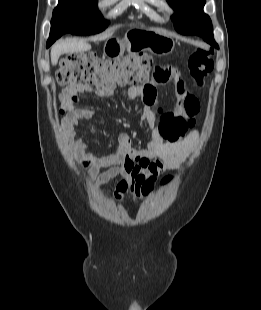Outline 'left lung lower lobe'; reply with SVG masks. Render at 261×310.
<instances>
[{"label":"left lung lower lobe","instance_id":"obj_1","mask_svg":"<svg viewBox=\"0 0 261 310\" xmlns=\"http://www.w3.org/2000/svg\"><path fill=\"white\" fill-rule=\"evenodd\" d=\"M195 35L202 37L210 45L218 47L213 38L212 23L202 24Z\"/></svg>","mask_w":261,"mask_h":310}]
</instances>
